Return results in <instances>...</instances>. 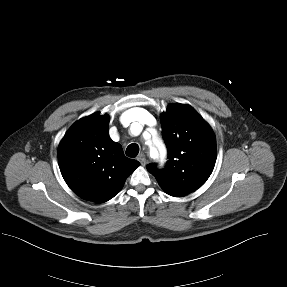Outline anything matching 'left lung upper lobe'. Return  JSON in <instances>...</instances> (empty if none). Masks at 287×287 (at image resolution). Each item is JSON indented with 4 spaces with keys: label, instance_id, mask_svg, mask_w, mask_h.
<instances>
[{
    "label": "left lung upper lobe",
    "instance_id": "obj_1",
    "mask_svg": "<svg viewBox=\"0 0 287 287\" xmlns=\"http://www.w3.org/2000/svg\"><path fill=\"white\" fill-rule=\"evenodd\" d=\"M162 134L168 149L164 169L147 165L167 194L183 197L200 188L216 162V139L209 124L190 106L170 104L161 114Z\"/></svg>",
    "mask_w": 287,
    "mask_h": 287
}]
</instances>
